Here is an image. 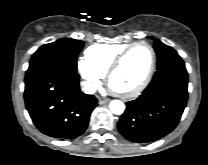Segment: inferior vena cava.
Masks as SVG:
<instances>
[{
	"mask_svg": "<svg viewBox=\"0 0 208 165\" xmlns=\"http://www.w3.org/2000/svg\"><path fill=\"white\" fill-rule=\"evenodd\" d=\"M81 88L84 93L92 94V93H95V91H96L95 85L90 82H82Z\"/></svg>",
	"mask_w": 208,
	"mask_h": 165,
	"instance_id": "obj_1",
	"label": "inferior vena cava"
}]
</instances>
